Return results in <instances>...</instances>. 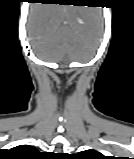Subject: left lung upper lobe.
I'll use <instances>...</instances> for the list:
<instances>
[{"label": "left lung upper lobe", "instance_id": "1", "mask_svg": "<svg viewBox=\"0 0 134 159\" xmlns=\"http://www.w3.org/2000/svg\"><path fill=\"white\" fill-rule=\"evenodd\" d=\"M72 159H106V158L101 153L89 149L72 156Z\"/></svg>", "mask_w": 134, "mask_h": 159}]
</instances>
